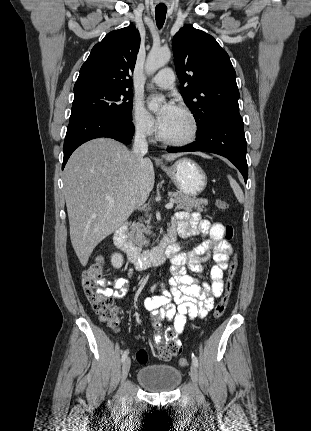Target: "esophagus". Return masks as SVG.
Returning <instances> with one entry per match:
<instances>
[{
	"instance_id": "obj_1",
	"label": "esophagus",
	"mask_w": 311,
	"mask_h": 431,
	"mask_svg": "<svg viewBox=\"0 0 311 431\" xmlns=\"http://www.w3.org/2000/svg\"><path fill=\"white\" fill-rule=\"evenodd\" d=\"M156 162L161 163V160H156Z\"/></svg>"
}]
</instances>
